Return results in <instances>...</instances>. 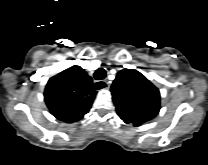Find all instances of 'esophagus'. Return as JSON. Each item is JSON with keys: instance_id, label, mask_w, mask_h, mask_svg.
<instances>
[{"instance_id": "esophagus-1", "label": "esophagus", "mask_w": 208, "mask_h": 165, "mask_svg": "<svg viewBox=\"0 0 208 165\" xmlns=\"http://www.w3.org/2000/svg\"><path fill=\"white\" fill-rule=\"evenodd\" d=\"M96 84H99V85H102L104 89H109L110 85L107 81H97L95 82V87H96Z\"/></svg>"}]
</instances>
